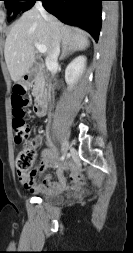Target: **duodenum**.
Here are the masks:
<instances>
[{"label": "duodenum", "mask_w": 133, "mask_h": 253, "mask_svg": "<svg viewBox=\"0 0 133 253\" xmlns=\"http://www.w3.org/2000/svg\"><path fill=\"white\" fill-rule=\"evenodd\" d=\"M44 73H38L39 76H42ZM35 75L34 74H27L24 77V83L26 85H30L34 82ZM47 111V98L45 96H39L35 105H34V112L37 116H44Z\"/></svg>", "instance_id": "duodenum-1"}]
</instances>
